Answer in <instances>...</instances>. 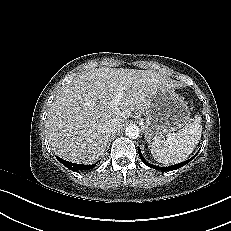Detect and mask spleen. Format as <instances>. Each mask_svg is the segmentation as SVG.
<instances>
[{
    "label": "spleen",
    "instance_id": "1",
    "mask_svg": "<svg viewBox=\"0 0 231 231\" xmlns=\"http://www.w3.org/2000/svg\"><path fill=\"white\" fill-rule=\"evenodd\" d=\"M201 133V117L196 115L193 122L186 124L178 132L168 135L166 139L155 140L151 145V153L159 163H180L194 151Z\"/></svg>",
    "mask_w": 231,
    "mask_h": 231
}]
</instances>
